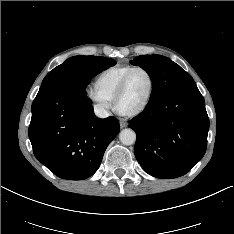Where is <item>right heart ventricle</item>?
Wrapping results in <instances>:
<instances>
[{
  "instance_id": "right-heart-ventricle-1",
  "label": "right heart ventricle",
  "mask_w": 234,
  "mask_h": 234,
  "mask_svg": "<svg viewBox=\"0 0 234 234\" xmlns=\"http://www.w3.org/2000/svg\"><path fill=\"white\" fill-rule=\"evenodd\" d=\"M132 65H115L104 69L96 78L97 87L111 100L124 76L133 69Z\"/></svg>"
}]
</instances>
